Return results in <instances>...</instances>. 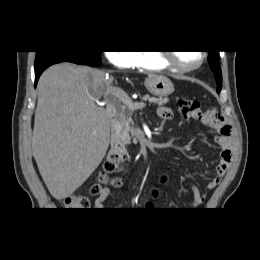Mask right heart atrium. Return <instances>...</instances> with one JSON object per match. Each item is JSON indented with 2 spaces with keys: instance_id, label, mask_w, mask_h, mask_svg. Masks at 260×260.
I'll use <instances>...</instances> for the list:
<instances>
[{
  "instance_id": "obj_1",
  "label": "right heart atrium",
  "mask_w": 260,
  "mask_h": 260,
  "mask_svg": "<svg viewBox=\"0 0 260 260\" xmlns=\"http://www.w3.org/2000/svg\"><path fill=\"white\" fill-rule=\"evenodd\" d=\"M107 58L112 65L120 69H128L135 65L136 53L133 51H109Z\"/></svg>"
}]
</instances>
